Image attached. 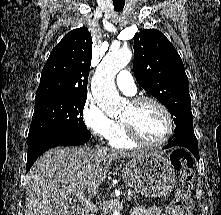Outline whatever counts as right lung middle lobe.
I'll use <instances>...</instances> for the list:
<instances>
[{"label": "right lung middle lobe", "mask_w": 221, "mask_h": 215, "mask_svg": "<svg viewBox=\"0 0 221 215\" xmlns=\"http://www.w3.org/2000/svg\"><path fill=\"white\" fill-rule=\"evenodd\" d=\"M87 95H62L35 102L28 145L50 137L88 133L82 114Z\"/></svg>", "instance_id": "right-lung-middle-lobe-1"}]
</instances>
